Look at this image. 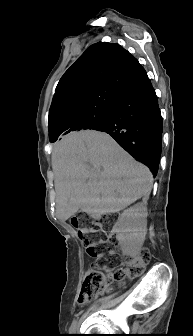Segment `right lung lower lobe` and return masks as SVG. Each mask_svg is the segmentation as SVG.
Listing matches in <instances>:
<instances>
[{
    "label": "right lung lower lobe",
    "mask_w": 193,
    "mask_h": 336,
    "mask_svg": "<svg viewBox=\"0 0 193 336\" xmlns=\"http://www.w3.org/2000/svg\"><path fill=\"white\" fill-rule=\"evenodd\" d=\"M98 131L111 135L156 175L162 148V117L155 90L142 66L115 98L105 125Z\"/></svg>",
    "instance_id": "right-lung-lower-lobe-1"
}]
</instances>
